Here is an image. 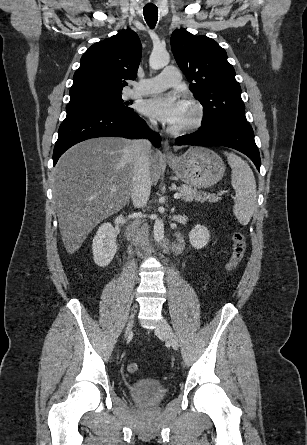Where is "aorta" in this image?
I'll list each match as a JSON object with an SVG mask.
<instances>
[{"instance_id":"obj_1","label":"aorta","mask_w":307,"mask_h":445,"mask_svg":"<svg viewBox=\"0 0 307 445\" xmlns=\"http://www.w3.org/2000/svg\"><path fill=\"white\" fill-rule=\"evenodd\" d=\"M170 62V54L166 48H153L150 56H149V66L150 68H154V70H158V68H163L166 64ZM154 239L157 243H161L164 239V220L163 218H155L154 223Z\"/></svg>"}]
</instances>
